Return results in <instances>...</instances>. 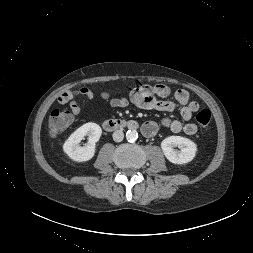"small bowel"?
<instances>
[{
	"label": "small bowel",
	"mask_w": 253,
	"mask_h": 253,
	"mask_svg": "<svg viewBox=\"0 0 253 253\" xmlns=\"http://www.w3.org/2000/svg\"><path fill=\"white\" fill-rule=\"evenodd\" d=\"M170 88L162 83L156 85H142L133 89L129 95V99L125 97H116L110 100L113 107H126L129 102L133 105L146 109L157 111H173L180 107V115L182 121L165 118L162 125L170 129L174 133L183 132L186 135L192 136L197 132V126L191 122V118L199 109V104L195 101H190L188 91L185 89H178L174 93V100H162L170 95ZM81 95L86 99L91 100L93 93L90 89L83 87L79 90H68L58 97L59 104L70 103L72 114L77 115L81 110L77 96ZM158 131V124L154 121H146L142 125V132L145 136H154Z\"/></svg>",
	"instance_id": "small-bowel-1"
}]
</instances>
